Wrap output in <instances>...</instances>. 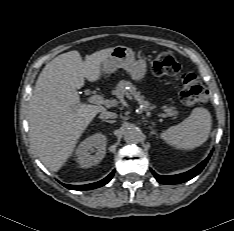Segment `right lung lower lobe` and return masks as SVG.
Masks as SVG:
<instances>
[{
	"instance_id": "1",
	"label": "right lung lower lobe",
	"mask_w": 234,
	"mask_h": 231,
	"mask_svg": "<svg viewBox=\"0 0 234 231\" xmlns=\"http://www.w3.org/2000/svg\"><path fill=\"white\" fill-rule=\"evenodd\" d=\"M113 174H114V171L111 172L103 180L95 182V183L87 184V185H67V184H63V185L66 188L71 189V190H91V189H95V188H98V187H101V186L107 184L112 179Z\"/></svg>"
}]
</instances>
